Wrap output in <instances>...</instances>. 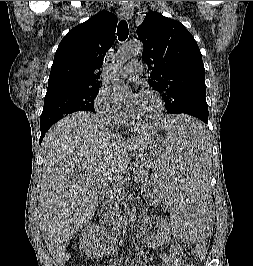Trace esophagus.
Listing matches in <instances>:
<instances>
[{
	"mask_svg": "<svg viewBox=\"0 0 253 266\" xmlns=\"http://www.w3.org/2000/svg\"><path fill=\"white\" fill-rule=\"evenodd\" d=\"M122 12L124 14V16L130 20L133 16V8L131 4L125 3L122 5Z\"/></svg>",
	"mask_w": 253,
	"mask_h": 266,
	"instance_id": "esophagus-1",
	"label": "esophagus"
}]
</instances>
